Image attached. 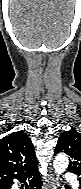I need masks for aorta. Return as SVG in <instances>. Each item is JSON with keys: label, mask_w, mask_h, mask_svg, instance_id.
<instances>
[{"label": "aorta", "mask_w": 81, "mask_h": 189, "mask_svg": "<svg viewBox=\"0 0 81 189\" xmlns=\"http://www.w3.org/2000/svg\"><path fill=\"white\" fill-rule=\"evenodd\" d=\"M68 164H69L68 157L64 154H59L58 156H56L53 162V167L55 169V172L58 175H60L66 170Z\"/></svg>", "instance_id": "762f6f07"}]
</instances>
